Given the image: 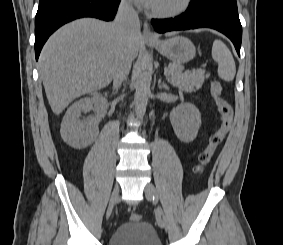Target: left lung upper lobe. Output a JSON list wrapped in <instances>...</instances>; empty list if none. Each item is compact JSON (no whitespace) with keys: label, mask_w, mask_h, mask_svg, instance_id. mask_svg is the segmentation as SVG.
Here are the masks:
<instances>
[{"label":"left lung upper lobe","mask_w":283,"mask_h":245,"mask_svg":"<svg viewBox=\"0 0 283 245\" xmlns=\"http://www.w3.org/2000/svg\"><path fill=\"white\" fill-rule=\"evenodd\" d=\"M190 10H219L238 14L236 0H191Z\"/></svg>","instance_id":"1"}]
</instances>
